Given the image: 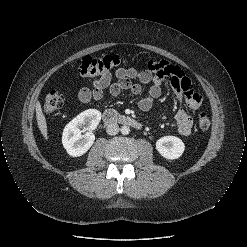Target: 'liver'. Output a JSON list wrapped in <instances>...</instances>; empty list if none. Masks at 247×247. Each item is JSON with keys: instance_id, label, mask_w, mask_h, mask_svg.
Masks as SVG:
<instances>
[{"instance_id": "6515ba94", "label": "liver", "mask_w": 247, "mask_h": 247, "mask_svg": "<svg viewBox=\"0 0 247 247\" xmlns=\"http://www.w3.org/2000/svg\"><path fill=\"white\" fill-rule=\"evenodd\" d=\"M35 110H36V119H37L38 128L41 134L43 135V137L46 140H48L47 122H46L45 115L43 114L40 102L36 103Z\"/></svg>"}]
</instances>
